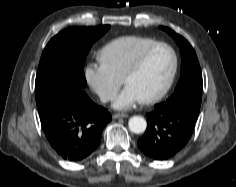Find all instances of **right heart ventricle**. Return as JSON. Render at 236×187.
<instances>
[{
    "label": "right heart ventricle",
    "mask_w": 236,
    "mask_h": 187,
    "mask_svg": "<svg viewBox=\"0 0 236 187\" xmlns=\"http://www.w3.org/2000/svg\"><path fill=\"white\" fill-rule=\"evenodd\" d=\"M157 42L146 36L127 35L118 37L104 45L97 53V58L104 67L122 79L139 53Z\"/></svg>",
    "instance_id": "right-heart-ventricle-1"
}]
</instances>
